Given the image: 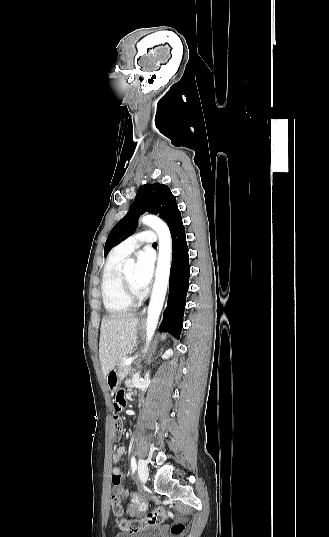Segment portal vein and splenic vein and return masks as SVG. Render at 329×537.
<instances>
[{"instance_id":"portal-vein-and-splenic-vein-1","label":"portal vein and splenic vein","mask_w":329,"mask_h":537,"mask_svg":"<svg viewBox=\"0 0 329 537\" xmlns=\"http://www.w3.org/2000/svg\"><path fill=\"white\" fill-rule=\"evenodd\" d=\"M132 362H133V358H129V359H127V360L125 361V365H126V366H130V365L132 364Z\"/></svg>"}]
</instances>
